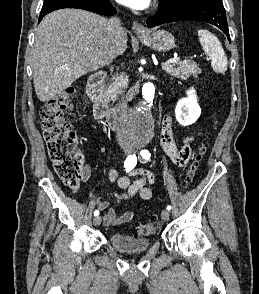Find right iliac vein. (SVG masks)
<instances>
[{"label":"right iliac vein","instance_id":"obj_1","mask_svg":"<svg viewBox=\"0 0 259 294\" xmlns=\"http://www.w3.org/2000/svg\"><path fill=\"white\" fill-rule=\"evenodd\" d=\"M127 153H129V151L127 150L126 151ZM102 221V217L101 216H96L94 219H93V224L94 226H99L100 223Z\"/></svg>","mask_w":259,"mask_h":294}]
</instances>
